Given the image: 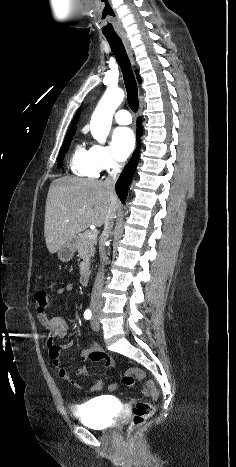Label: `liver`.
<instances>
[{
	"mask_svg": "<svg viewBox=\"0 0 236 467\" xmlns=\"http://www.w3.org/2000/svg\"><path fill=\"white\" fill-rule=\"evenodd\" d=\"M118 198L102 181L83 178H58L49 188L44 236L48 251L54 254L90 225L100 227L107 216L113 218Z\"/></svg>",
	"mask_w": 236,
	"mask_h": 467,
	"instance_id": "6515ba94",
	"label": "liver"
}]
</instances>
